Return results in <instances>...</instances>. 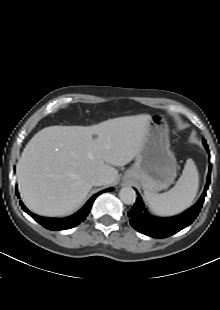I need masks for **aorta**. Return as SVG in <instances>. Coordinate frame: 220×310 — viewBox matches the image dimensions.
<instances>
[{"label":"aorta","mask_w":220,"mask_h":310,"mask_svg":"<svg viewBox=\"0 0 220 310\" xmlns=\"http://www.w3.org/2000/svg\"><path fill=\"white\" fill-rule=\"evenodd\" d=\"M119 197L124 204L131 205L136 200V192L131 187H124L120 190Z\"/></svg>","instance_id":"obj_1"}]
</instances>
